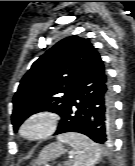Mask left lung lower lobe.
<instances>
[{"mask_svg":"<svg viewBox=\"0 0 135 166\" xmlns=\"http://www.w3.org/2000/svg\"><path fill=\"white\" fill-rule=\"evenodd\" d=\"M60 116L56 134L78 132L97 143H110L114 131L113 94L98 53L80 76L72 100Z\"/></svg>","mask_w":135,"mask_h":166,"instance_id":"0a47b994","label":"left lung lower lobe"}]
</instances>
